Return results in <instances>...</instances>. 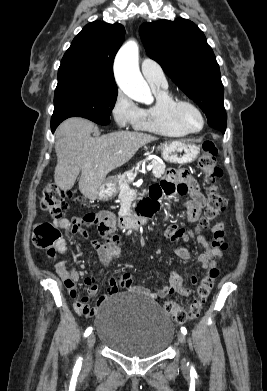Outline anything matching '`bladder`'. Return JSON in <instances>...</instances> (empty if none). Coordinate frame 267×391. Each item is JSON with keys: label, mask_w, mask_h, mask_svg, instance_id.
<instances>
[{"label": "bladder", "mask_w": 267, "mask_h": 391, "mask_svg": "<svg viewBox=\"0 0 267 391\" xmlns=\"http://www.w3.org/2000/svg\"><path fill=\"white\" fill-rule=\"evenodd\" d=\"M95 325L101 343L127 357L161 354L174 338L173 322L158 303L134 292L117 293L103 302Z\"/></svg>", "instance_id": "31cf9c89"}]
</instances>
